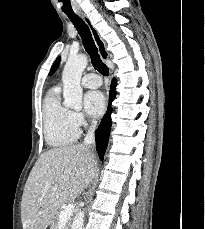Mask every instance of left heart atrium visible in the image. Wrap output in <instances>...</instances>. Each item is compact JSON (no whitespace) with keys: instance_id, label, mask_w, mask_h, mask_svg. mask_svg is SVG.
<instances>
[{"instance_id":"39dd6f15","label":"left heart atrium","mask_w":205,"mask_h":229,"mask_svg":"<svg viewBox=\"0 0 205 229\" xmlns=\"http://www.w3.org/2000/svg\"><path fill=\"white\" fill-rule=\"evenodd\" d=\"M84 107L93 116H100L106 108V99L100 91H90L84 97Z\"/></svg>"}]
</instances>
